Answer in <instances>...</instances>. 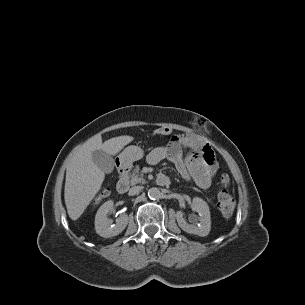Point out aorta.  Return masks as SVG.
Listing matches in <instances>:
<instances>
[{
	"label": "aorta",
	"mask_w": 305,
	"mask_h": 305,
	"mask_svg": "<svg viewBox=\"0 0 305 305\" xmlns=\"http://www.w3.org/2000/svg\"><path fill=\"white\" fill-rule=\"evenodd\" d=\"M148 197L151 200L159 199L161 197V192L158 188L152 187L148 190Z\"/></svg>",
	"instance_id": "aorta-1"
}]
</instances>
